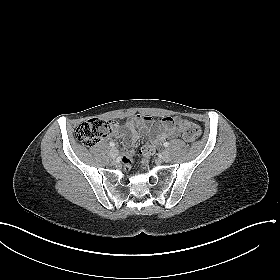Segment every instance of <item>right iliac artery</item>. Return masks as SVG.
<instances>
[{
  "mask_svg": "<svg viewBox=\"0 0 280 280\" xmlns=\"http://www.w3.org/2000/svg\"><path fill=\"white\" fill-rule=\"evenodd\" d=\"M110 146H111V147H114V146H115V143H114V142H110Z\"/></svg>",
  "mask_w": 280,
  "mask_h": 280,
  "instance_id": "1",
  "label": "right iliac artery"
}]
</instances>
